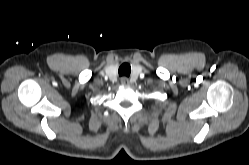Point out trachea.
Masks as SVG:
<instances>
[{
    "label": "trachea",
    "instance_id": "obj_1",
    "mask_svg": "<svg viewBox=\"0 0 249 165\" xmlns=\"http://www.w3.org/2000/svg\"><path fill=\"white\" fill-rule=\"evenodd\" d=\"M119 76H129L130 72H131V67L128 63H123L120 67H119Z\"/></svg>",
    "mask_w": 249,
    "mask_h": 165
}]
</instances>
